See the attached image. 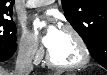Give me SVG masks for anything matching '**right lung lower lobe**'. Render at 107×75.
Instances as JSON below:
<instances>
[{
    "label": "right lung lower lobe",
    "instance_id": "obj_1",
    "mask_svg": "<svg viewBox=\"0 0 107 75\" xmlns=\"http://www.w3.org/2000/svg\"><path fill=\"white\" fill-rule=\"evenodd\" d=\"M17 45L14 46H2L0 47V61L9 59L16 51Z\"/></svg>",
    "mask_w": 107,
    "mask_h": 75
}]
</instances>
